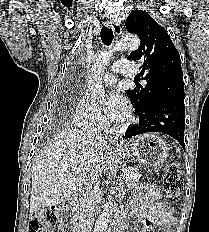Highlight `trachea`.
I'll list each match as a JSON object with an SVG mask.
<instances>
[{
  "instance_id": "1",
  "label": "trachea",
  "mask_w": 209,
  "mask_h": 232,
  "mask_svg": "<svg viewBox=\"0 0 209 232\" xmlns=\"http://www.w3.org/2000/svg\"><path fill=\"white\" fill-rule=\"evenodd\" d=\"M100 37L104 45L110 46L114 38L112 29L103 26L101 29Z\"/></svg>"
}]
</instances>
